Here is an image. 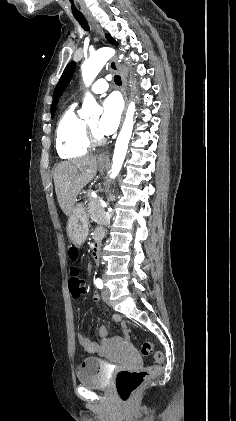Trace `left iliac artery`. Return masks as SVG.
Listing matches in <instances>:
<instances>
[{
    "instance_id": "44dca946",
    "label": "left iliac artery",
    "mask_w": 236,
    "mask_h": 421,
    "mask_svg": "<svg viewBox=\"0 0 236 421\" xmlns=\"http://www.w3.org/2000/svg\"><path fill=\"white\" fill-rule=\"evenodd\" d=\"M94 283L97 286V288H99V289L103 288V282L100 278H97Z\"/></svg>"
}]
</instances>
